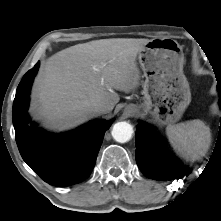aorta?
<instances>
[{"label": "aorta", "mask_w": 221, "mask_h": 221, "mask_svg": "<svg viewBox=\"0 0 221 221\" xmlns=\"http://www.w3.org/2000/svg\"><path fill=\"white\" fill-rule=\"evenodd\" d=\"M111 134L117 142L125 143L131 139L133 127L126 121L117 122L112 128Z\"/></svg>", "instance_id": "1"}]
</instances>
